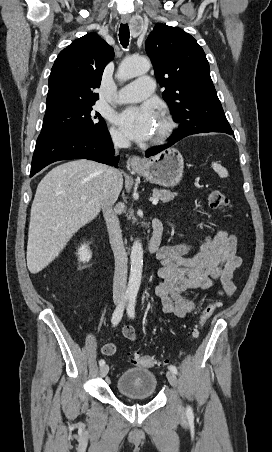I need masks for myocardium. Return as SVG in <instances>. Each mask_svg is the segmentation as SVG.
<instances>
[{"mask_svg":"<svg viewBox=\"0 0 272 452\" xmlns=\"http://www.w3.org/2000/svg\"><path fill=\"white\" fill-rule=\"evenodd\" d=\"M161 119L163 126L161 131L152 138L151 143L153 144H159L167 140L175 129V122L170 115L164 112L161 114Z\"/></svg>","mask_w":272,"mask_h":452,"instance_id":"obj_1","label":"myocardium"}]
</instances>
